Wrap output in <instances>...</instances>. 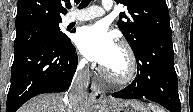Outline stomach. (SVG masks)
<instances>
[{
  "label": "stomach",
  "instance_id": "obj_1",
  "mask_svg": "<svg viewBox=\"0 0 193 112\" xmlns=\"http://www.w3.org/2000/svg\"><path fill=\"white\" fill-rule=\"evenodd\" d=\"M110 112H148L147 107L136 100L114 101L109 105Z\"/></svg>",
  "mask_w": 193,
  "mask_h": 112
}]
</instances>
